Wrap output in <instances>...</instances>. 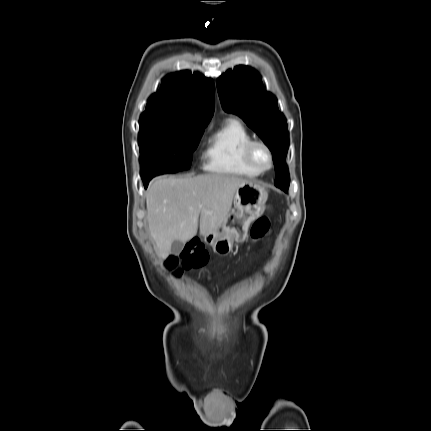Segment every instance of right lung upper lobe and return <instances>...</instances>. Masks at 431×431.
<instances>
[{"label":"right lung upper lobe","mask_w":431,"mask_h":431,"mask_svg":"<svg viewBox=\"0 0 431 431\" xmlns=\"http://www.w3.org/2000/svg\"><path fill=\"white\" fill-rule=\"evenodd\" d=\"M214 83L199 72L167 75L150 96L140 120H161L191 126L207 125L214 111Z\"/></svg>","instance_id":"right-lung-upper-lobe-1"}]
</instances>
